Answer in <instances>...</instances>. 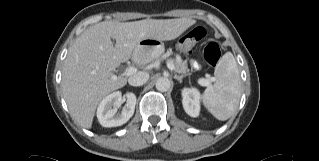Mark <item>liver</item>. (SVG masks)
<instances>
[{
	"mask_svg": "<svg viewBox=\"0 0 319 161\" xmlns=\"http://www.w3.org/2000/svg\"><path fill=\"white\" fill-rule=\"evenodd\" d=\"M195 22L189 18L103 21L86 29L70 46L62 71V91L71 116L80 126L91 128L102 98L127 83L111 71L133 56L138 43L147 38L173 40Z\"/></svg>",
	"mask_w": 319,
	"mask_h": 161,
	"instance_id": "obj_1",
	"label": "liver"
}]
</instances>
